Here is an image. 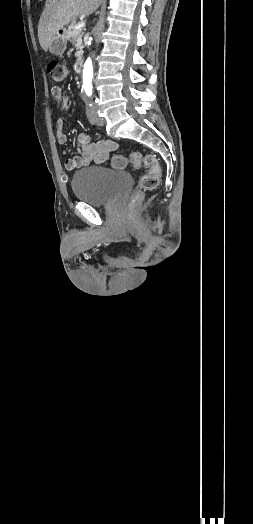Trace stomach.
<instances>
[{
    "mask_svg": "<svg viewBox=\"0 0 253 524\" xmlns=\"http://www.w3.org/2000/svg\"><path fill=\"white\" fill-rule=\"evenodd\" d=\"M66 45V32L64 29H60L54 35L48 49L51 54L59 56L62 55L66 50Z\"/></svg>",
    "mask_w": 253,
    "mask_h": 524,
    "instance_id": "0dacf381",
    "label": "stomach"
}]
</instances>
